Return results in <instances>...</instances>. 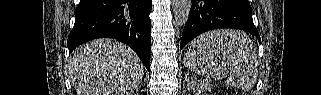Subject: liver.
Segmentation results:
<instances>
[{"instance_id": "obj_1", "label": "liver", "mask_w": 321, "mask_h": 95, "mask_svg": "<svg viewBox=\"0 0 321 95\" xmlns=\"http://www.w3.org/2000/svg\"><path fill=\"white\" fill-rule=\"evenodd\" d=\"M68 67L78 95H125L144 76V65L131 48L111 39L81 45Z\"/></svg>"}]
</instances>
